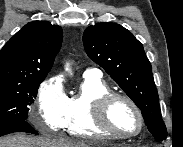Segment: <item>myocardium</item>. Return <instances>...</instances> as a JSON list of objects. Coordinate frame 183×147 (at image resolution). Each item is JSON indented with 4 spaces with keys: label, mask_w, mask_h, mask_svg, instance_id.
Wrapping results in <instances>:
<instances>
[{
    "label": "myocardium",
    "mask_w": 183,
    "mask_h": 147,
    "mask_svg": "<svg viewBox=\"0 0 183 147\" xmlns=\"http://www.w3.org/2000/svg\"><path fill=\"white\" fill-rule=\"evenodd\" d=\"M124 100L135 111L138 116L140 127L134 134H126L116 130L109 120V108L115 100ZM93 117L96 125L106 133L120 139H132L140 136L145 128V119L141 109L136 102L129 96L116 92H109L97 98L93 103Z\"/></svg>",
    "instance_id": "f54148a6"
}]
</instances>
